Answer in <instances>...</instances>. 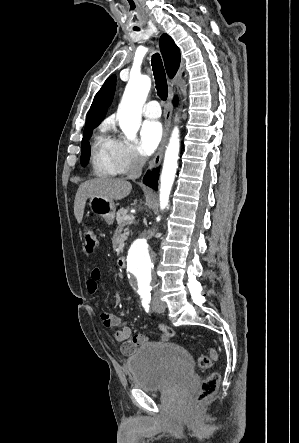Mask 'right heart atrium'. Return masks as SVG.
Masks as SVG:
<instances>
[{
    "instance_id": "obj_1",
    "label": "right heart atrium",
    "mask_w": 299,
    "mask_h": 443,
    "mask_svg": "<svg viewBox=\"0 0 299 443\" xmlns=\"http://www.w3.org/2000/svg\"><path fill=\"white\" fill-rule=\"evenodd\" d=\"M115 160L120 173H127L141 168L145 157L138 147L124 138L114 139Z\"/></svg>"
}]
</instances>
